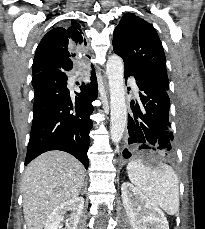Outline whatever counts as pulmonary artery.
Wrapping results in <instances>:
<instances>
[{
    "label": "pulmonary artery",
    "mask_w": 205,
    "mask_h": 229,
    "mask_svg": "<svg viewBox=\"0 0 205 229\" xmlns=\"http://www.w3.org/2000/svg\"><path fill=\"white\" fill-rule=\"evenodd\" d=\"M129 83H130V85H131L133 91H134L135 93H137V92H138V87H137L135 81H134L133 79H129Z\"/></svg>",
    "instance_id": "1"
}]
</instances>
